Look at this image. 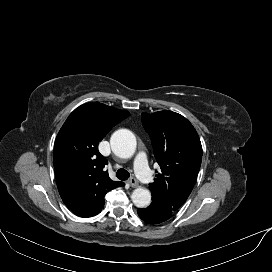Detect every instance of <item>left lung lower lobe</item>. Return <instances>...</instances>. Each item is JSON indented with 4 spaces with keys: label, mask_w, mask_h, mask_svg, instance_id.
I'll list each match as a JSON object with an SVG mask.
<instances>
[{
    "label": "left lung lower lobe",
    "mask_w": 272,
    "mask_h": 272,
    "mask_svg": "<svg viewBox=\"0 0 272 272\" xmlns=\"http://www.w3.org/2000/svg\"><path fill=\"white\" fill-rule=\"evenodd\" d=\"M139 217L150 224H158L168 220L172 213L159 207L158 205L151 204L147 208L137 210Z\"/></svg>",
    "instance_id": "0a47b994"
}]
</instances>
